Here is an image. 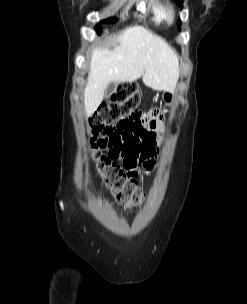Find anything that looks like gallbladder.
Instances as JSON below:
<instances>
[{"mask_svg":"<svg viewBox=\"0 0 247 304\" xmlns=\"http://www.w3.org/2000/svg\"><path fill=\"white\" fill-rule=\"evenodd\" d=\"M116 89V83L110 82L107 87L105 88V96H110L115 92Z\"/></svg>","mask_w":247,"mask_h":304,"instance_id":"obj_1","label":"gallbladder"}]
</instances>
